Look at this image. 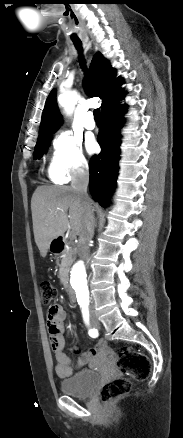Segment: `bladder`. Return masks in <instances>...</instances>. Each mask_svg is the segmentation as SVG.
Returning a JSON list of instances; mask_svg holds the SVG:
<instances>
[{"label": "bladder", "instance_id": "31cf9c89", "mask_svg": "<svg viewBox=\"0 0 183 438\" xmlns=\"http://www.w3.org/2000/svg\"><path fill=\"white\" fill-rule=\"evenodd\" d=\"M100 381V374L96 371H82L60 383L61 391L69 396L89 397Z\"/></svg>", "mask_w": 183, "mask_h": 438}]
</instances>
